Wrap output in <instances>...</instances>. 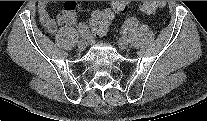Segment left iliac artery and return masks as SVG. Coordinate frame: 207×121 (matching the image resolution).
Here are the masks:
<instances>
[{
	"label": "left iliac artery",
	"instance_id": "1",
	"mask_svg": "<svg viewBox=\"0 0 207 121\" xmlns=\"http://www.w3.org/2000/svg\"><path fill=\"white\" fill-rule=\"evenodd\" d=\"M137 19V16L134 14L127 18L121 25V34L127 35L131 30V26L136 24Z\"/></svg>",
	"mask_w": 207,
	"mask_h": 121
}]
</instances>
